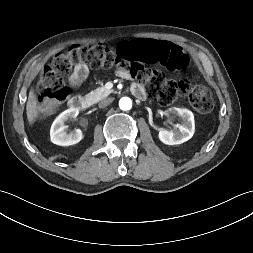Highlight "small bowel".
<instances>
[{
    "label": "small bowel",
    "mask_w": 253,
    "mask_h": 253,
    "mask_svg": "<svg viewBox=\"0 0 253 253\" xmlns=\"http://www.w3.org/2000/svg\"><path fill=\"white\" fill-rule=\"evenodd\" d=\"M140 41V40H137ZM173 44V43H172ZM173 71V70H171ZM88 68L85 64H77L74 67L73 73L70 76L69 82L70 85L74 88L79 87L87 78L88 76ZM117 75L122 77V78H129L130 77V73L122 68L117 69L116 71ZM135 89H140L143 93L144 90L140 85H135L133 87V91Z\"/></svg>",
    "instance_id": "1"
}]
</instances>
